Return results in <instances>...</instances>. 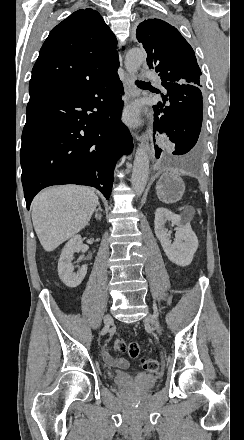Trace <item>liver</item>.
I'll return each mask as SVG.
<instances>
[{
    "instance_id": "obj_1",
    "label": "liver",
    "mask_w": 244,
    "mask_h": 440,
    "mask_svg": "<svg viewBox=\"0 0 244 440\" xmlns=\"http://www.w3.org/2000/svg\"><path fill=\"white\" fill-rule=\"evenodd\" d=\"M98 196L83 186H53L35 196L32 222L45 252H53L87 226L98 206Z\"/></svg>"
}]
</instances>
